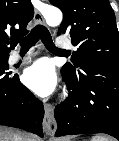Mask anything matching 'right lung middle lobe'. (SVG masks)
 Returning a JSON list of instances; mask_svg holds the SVG:
<instances>
[{"label":"right lung middle lobe","instance_id":"obj_1","mask_svg":"<svg viewBox=\"0 0 119 141\" xmlns=\"http://www.w3.org/2000/svg\"><path fill=\"white\" fill-rule=\"evenodd\" d=\"M8 57L0 58V70H8Z\"/></svg>","mask_w":119,"mask_h":141}]
</instances>
